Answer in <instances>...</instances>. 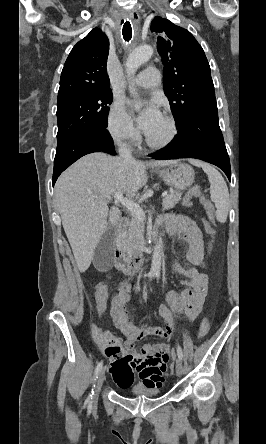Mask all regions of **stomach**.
<instances>
[{
  "instance_id": "stomach-1",
  "label": "stomach",
  "mask_w": 266,
  "mask_h": 444,
  "mask_svg": "<svg viewBox=\"0 0 266 444\" xmlns=\"http://www.w3.org/2000/svg\"><path fill=\"white\" fill-rule=\"evenodd\" d=\"M156 173L167 185L177 190H184L190 187L195 178L193 168L179 161H175L165 168L156 170Z\"/></svg>"
}]
</instances>
